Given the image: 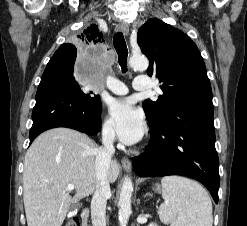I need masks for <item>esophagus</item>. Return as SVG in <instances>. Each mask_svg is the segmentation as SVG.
I'll return each mask as SVG.
<instances>
[{"label": "esophagus", "instance_id": "obj_1", "mask_svg": "<svg viewBox=\"0 0 247 226\" xmlns=\"http://www.w3.org/2000/svg\"><path fill=\"white\" fill-rule=\"evenodd\" d=\"M116 31H121L125 35H128L129 33V26L125 22H120L116 25ZM122 166L126 171H131V161L128 158H123L122 159Z\"/></svg>", "mask_w": 247, "mask_h": 226}]
</instances>
